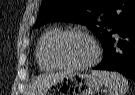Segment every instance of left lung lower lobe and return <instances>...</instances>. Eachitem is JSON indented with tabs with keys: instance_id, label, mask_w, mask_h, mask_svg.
I'll use <instances>...</instances> for the list:
<instances>
[{
	"instance_id": "obj_1",
	"label": "left lung lower lobe",
	"mask_w": 135,
	"mask_h": 95,
	"mask_svg": "<svg viewBox=\"0 0 135 95\" xmlns=\"http://www.w3.org/2000/svg\"><path fill=\"white\" fill-rule=\"evenodd\" d=\"M103 59L93 69L116 71L135 82V14L102 43Z\"/></svg>"
}]
</instances>
